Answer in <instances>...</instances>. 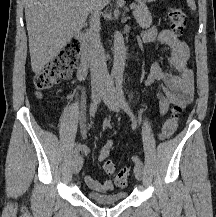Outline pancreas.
Instances as JSON below:
<instances>
[{
  "label": "pancreas",
  "mask_w": 216,
  "mask_h": 217,
  "mask_svg": "<svg viewBox=\"0 0 216 217\" xmlns=\"http://www.w3.org/2000/svg\"><path fill=\"white\" fill-rule=\"evenodd\" d=\"M133 15L142 28H148L152 24V16L145 3H138L135 5Z\"/></svg>",
  "instance_id": "obj_1"
}]
</instances>
